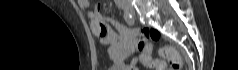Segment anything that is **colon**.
Returning a JSON list of instances; mask_svg holds the SVG:
<instances>
[{"label":"colon","instance_id":"5ec220e1","mask_svg":"<svg viewBox=\"0 0 238 70\" xmlns=\"http://www.w3.org/2000/svg\"><path fill=\"white\" fill-rule=\"evenodd\" d=\"M139 45L144 51L147 66L156 70H167V61L172 70H179L182 68V60L175 48L172 46H163L159 49L161 59H152L150 55L151 43L160 38V33L152 28H143L140 30Z\"/></svg>","mask_w":238,"mask_h":70}]
</instances>
